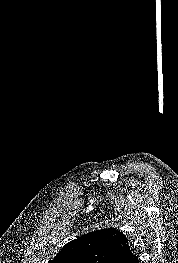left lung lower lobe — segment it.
<instances>
[{"label":"left lung lower lobe","mask_w":178,"mask_h":263,"mask_svg":"<svg viewBox=\"0 0 178 263\" xmlns=\"http://www.w3.org/2000/svg\"><path fill=\"white\" fill-rule=\"evenodd\" d=\"M109 263H139L137 256L132 252L127 241L120 253L114 257Z\"/></svg>","instance_id":"left-lung-lower-lobe-1"}]
</instances>
